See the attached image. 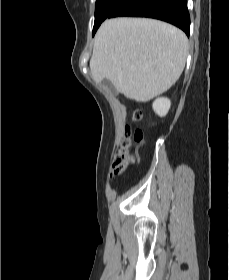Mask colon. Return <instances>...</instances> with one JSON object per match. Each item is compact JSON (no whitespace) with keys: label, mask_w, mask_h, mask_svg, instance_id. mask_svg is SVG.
Listing matches in <instances>:
<instances>
[{"label":"colon","mask_w":229,"mask_h":280,"mask_svg":"<svg viewBox=\"0 0 229 280\" xmlns=\"http://www.w3.org/2000/svg\"><path fill=\"white\" fill-rule=\"evenodd\" d=\"M136 119H141V112H136ZM144 139V132L141 128L136 127H127L126 135L122 142L121 149L114 161L113 169L114 174L122 173L127 166L132 162L133 156L130 153L129 149L136 144H140Z\"/></svg>","instance_id":"colon-1"}]
</instances>
